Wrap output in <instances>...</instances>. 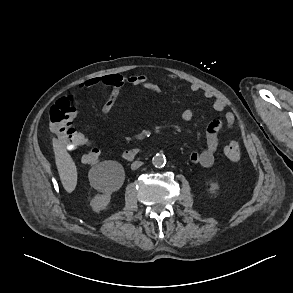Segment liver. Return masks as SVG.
<instances>
[{"label": "liver", "instance_id": "liver-1", "mask_svg": "<svg viewBox=\"0 0 293 293\" xmlns=\"http://www.w3.org/2000/svg\"><path fill=\"white\" fill-rule=\"evenodd\" d=\"M53 150L55 162L64 189L71 193L77 185V168L70 154L64 146L57 140L53 139Z\"/></svg>", "mask_w": 293, "mask_h": 293}]
</instances>
